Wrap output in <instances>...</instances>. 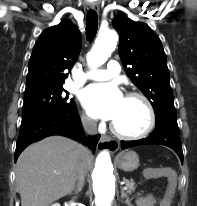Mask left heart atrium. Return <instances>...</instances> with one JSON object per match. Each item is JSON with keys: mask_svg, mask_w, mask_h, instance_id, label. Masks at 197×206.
<instances>
[{"mask_svg": "<svg viewBox=\"0 0 197 206\" xmlns=\"http://www.w3.org/2000/svg\"><path fill=\"white\" fill-rule=\"evenodd\" d=\"M81 100L92 117L115 120L124 97L115 84H93L83 91Z\"/></svg>", "mask_w": 197, "mask_h": 206, "instance_id": "1", "label": "left heart atrium"}]
</instances>
